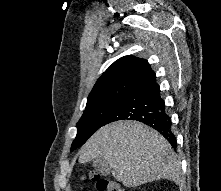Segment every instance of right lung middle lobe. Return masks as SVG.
Instances as JSON below:
<instances>
[{
    "label": "right lung middle lobe",
    "mask_w": 221,
    "mask_h": 191,
    "mask_svg": "<svg viewBox=\"0 0 221 191\" xmlns=\"http://www.w3.org/2000/svg\"><path fill=\"white\" fill-rule=\"evenodd\" d=\"M120 99H112L86 106L82 117L77 123V135L72 143L71 150L83 145L95 131L103 126V123L110 116Z\"/></svg>",
    "instance_id": "obj_1"
}]
</instances>
